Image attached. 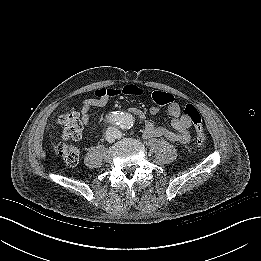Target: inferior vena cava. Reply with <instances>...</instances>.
I'll return each mask as SVG.
<instances>
[{"mask_svg": "<svg viewBox=\"0 0 261 261\" xmlns=\"http://www.w3.org/2000/svg\"><path fill=\"white\" fill-rule=\"evenodd\" d=\"M120 137H121V133L116 127H108L106 131V139L109 142H114L116 139Z\"/></svg>", "mask_w": 261, "mask_h": 261, "instance_id": "obj_1", "label": "inferior vena cava"}]
</instances>
